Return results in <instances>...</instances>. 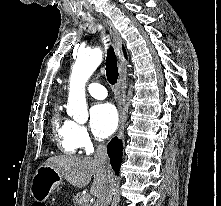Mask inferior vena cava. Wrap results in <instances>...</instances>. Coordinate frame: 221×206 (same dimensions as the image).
Segmentation results:
<instances>
[{
    "label": "inferior vena cava",
    "instance_id": "1",
    "mask_svg": "<svg viewBox=\"0 0 221 206\" xmlns=\"http://www.w3.org/2000/svg\"><path fill=\"white\" fill-rule=\"evenodd\" d=\"M94 158L100 164L105 177L102 192L97 197L94 206H108L112 200L115 181L114 174L108 160L106 146L104 144L99 143L97 145Z\"/></svg>",
    "mask_w": 221,
    "mask_h": 206
}]
</instances>
